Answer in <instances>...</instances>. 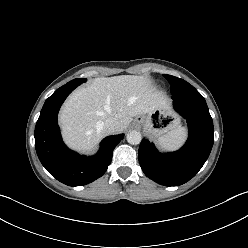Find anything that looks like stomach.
Listing matches in <instances>:
<instances>
[{
  "label": "stomach",
  "mask_w": 248,
  "mask_h": 248,
  "mask_svg": "<svg viewBox=\"0 0 248 248\" xmlns=\"http://www.w3.org/2000/svg\"><path fill=\"white\" fill-rule=\"evenodd\" d=\"M143 131L150 137L158 138L175 129L179 122L173 115L165 110H158L148 115H141L136 118Z\"/></svg>",
  "instance_id": "1"
}]
</instances>
